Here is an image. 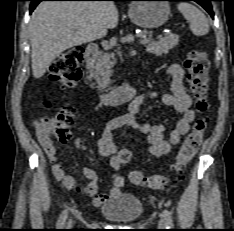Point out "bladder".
Wrapping results in <instances>:
<instances>
[{"mask_svg":"<svg viewBox=\"0 0 234 231\" xmlns=\"http://www.w3.org/2000/svg\"><path fill=\"white\" fill-rule=\"evenodd\" d=\"M100 211L110 221L131 222L142 216L144 205L136 196L120 193L116 198L104 204Z\"/></svg>","mask_w":234,"mask_h":231,"instance_id":"bladder-1","label":"bladder"}]
</instances>
